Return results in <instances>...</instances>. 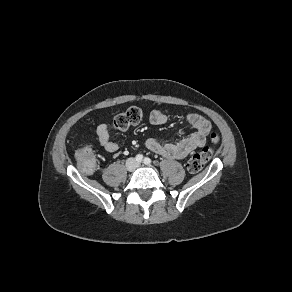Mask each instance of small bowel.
Segmentation results:
<instances>
[{"mask_svg": "<svg viewBox=\"0 0 292 292\" xmlns=\"http://www.w3.org/2000/svg\"><path fill=\"white\" fill-rule=\"evenodd\" d=\"M186 120L194 129V132L177 141H159L151 137L145 141L146 147L170 159L185 158L193 150L202 147L211 130V123L197 113L188 114ZM150 122L153 125L162 126L168 122V117L162 110H154L150 114ZM97 136L101 146L108 153H115L120 149L119 144L110 140V133L106 124L98 126Z\"/></svg>", "mask_w": 292, "mask_h": 292, "instance_id": "c3829d8e", "label": "small bowel"}]
</instances>
